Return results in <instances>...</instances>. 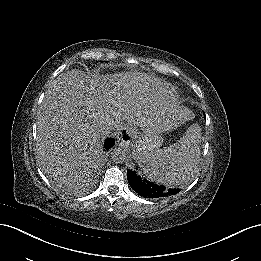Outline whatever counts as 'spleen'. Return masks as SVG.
<instances>
[{"label":"spleen","instance_id":"3e777b00","mask_svg":"<svg viewBox=\"0 0 261 261\" xmlns=\"http://www.w3.org/2000/svg\"><path fill=\"white\" fill-rule=\"evenodd\" d=\"M199 138L200 127L192 125L176 143L152 150L141 158L139 164L154 181L169 186L180 185L186 178L183 171L190 173L199 162Z\"/></svg>","mask_w":261,"mask_h":261}]
</instances>
